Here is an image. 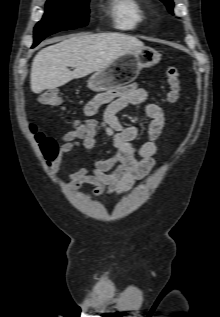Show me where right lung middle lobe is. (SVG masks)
Returning <instances> with one entry per match:
<instances>
[{
  "mask_svg": "<svg viewBox=\"0 0 220 317\" xmlns=\"http://www.w3.org/2000/svg\"><path fill=\"white\" fill-rule=\"evenodd\" d=\"M88 2L89 0H48L45 14L34 28L33 47L56 32L86 26Z\"/></svg>",
  "mask_w": 220,
  "mask_h": 317,
  "instance_id": "obj_1",
  "label": "right lung middle lobe"
}]
</instances>
